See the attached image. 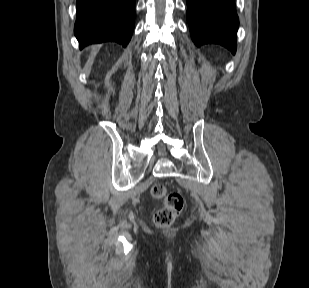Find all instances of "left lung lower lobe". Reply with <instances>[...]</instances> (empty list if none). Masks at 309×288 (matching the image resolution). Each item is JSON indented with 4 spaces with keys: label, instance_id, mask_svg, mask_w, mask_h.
<instances>
[{
    "label": "left lung lower lobe",
    "instance_id": "1",
    "mask_svg": "<svg viewBox=\"0 0 309 288\" xmlns=\"http://www.w3.org/2000/svg\"><path fill=\"white\" fill-rule=\"evenodd\" d=\"M187 20L196 46L216 43L236 52L239 19L235 0H187Z\"/></svg>",
    "mask_w": 309,
    "mask_h": 288
}]
</instances>
